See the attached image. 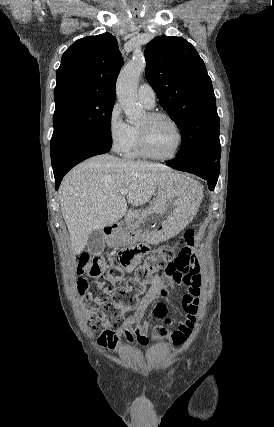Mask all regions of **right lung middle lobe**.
Returning <instances> with one entry per match:
<instances>
[{
	"label": "right lung middle lobe",
	"instance_id": "1",
	"mask_svg": "<svg viewBox=\"0 0 274 427\" xmlns=\"http://www.w3.org/2000/svg\"><path fill=\"white\" fill-rule=\"evenodd\" d=\"M115 97H78L56 104L50 144L52 165L85 142L111 141V114Z\"/></svg>",
	"mask_w": 274,
	"mask_h": 427
}]
</instances>
